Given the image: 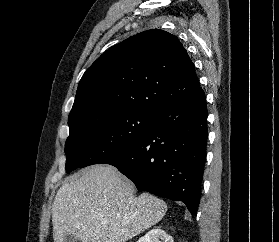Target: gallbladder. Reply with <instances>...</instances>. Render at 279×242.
Masks as SVG:
<instances>
[{
	"mask_svg": "<svg viewBox=\"0 0 279 242\" xmlns=\"http://www.w3.org/2000/svg\"><path fill=\"white\" fill-rule=\"evenodd\" d=\"M77 241L78 240L74 236H72V235H68L65 238V242H77Z\"/></svg>",
	"mask_w": 279,
	"mask_h": 242,
	"instance_id": "bac80fb5",
	"label": "gallbladder"
}]
</instances>
